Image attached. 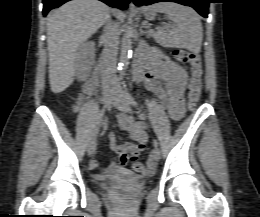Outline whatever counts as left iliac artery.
<instances>
[{"instance_id": "1", "label": "left iliac artery", "mask_w": 260, "mask_h": 217, "mask_svg": "<svg viewBox=\"0 0 260 217\" xmlns=\"http://www.w3.org/2000/svg\"><path fill=\"white\" fill-rule=\"evenodd\" d=\"M125 94H126V96H127V98H128L129 103H130L133 107H138V103H137L136 100L132 97V95L129 94L128 92H125ZM153 145H154L155 147L158 146V142H157L156 139H153Z\"/></svg>"}]
</instances>
